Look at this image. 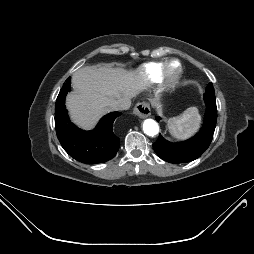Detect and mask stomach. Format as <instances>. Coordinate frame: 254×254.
<instances>
[{"mask_svg": "<svg viewBox=\"0 0 254 254\" xmlns=\"http://www.w3.org/2000/svg\"><path fill=\"white\" fill-rule=\"evenodd\" d=\"M155 105L158 107L160 104H159V103H158V104H157V103H155Z\"/></svg>", "mask_w": 254, "mask_h": 254, "instance_id": "1", "label": "stomach"}]
</instances>
